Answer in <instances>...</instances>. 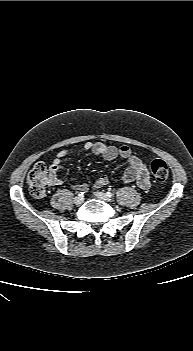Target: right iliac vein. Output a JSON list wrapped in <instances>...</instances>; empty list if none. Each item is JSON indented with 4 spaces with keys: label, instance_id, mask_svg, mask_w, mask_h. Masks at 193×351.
<instances>
[{
    "label": "right iliac vein",
    "instance_id": "right-iliac-vein-1",
    "mask_svg": "<svg viewBox=\"0 0 193 351\" xmlns=\"http://www.w3.org/2000/svg\"><path fill=\"white\" fill-rule=\"evenodd\" d=\"M83 201H84V198L81 197V196H77V197L74 198V203L76 205H81L83 203Z\"/></svg>",
    "mask_w": 193,
    "mask_h": 351
}]
</instances>
